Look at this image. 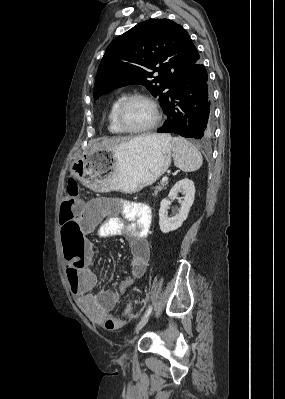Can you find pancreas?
Here are the masks:
<instances>
[{
    "mask_svg": "<svg viewBox=\"0 0 285 399\" xmlns=\"http://www.w3.org/2000/svg\"><path fill=\"white\" fill-rule=\"evenodd\" d=\"M165 186H166V183H161V184H159L158 186H156V187L154 188L153 195H154V196H157L158 192H159V191H162V190L164 189Z\"/></svg>",
    "mask_w": 285,
    "mask_h": 399,
    "instance_id": "1",
    "label": "pancreas"
}]
</instances>
